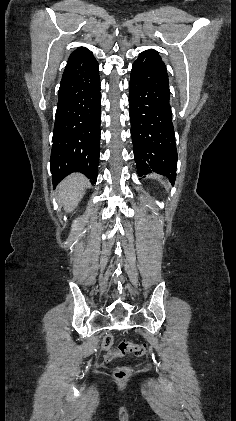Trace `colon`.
I'll return each instance as SVG.
<instances>
[{
	"mask_svg": "<svg viewBox=\"0 0 236 421\" xmlns=\"http://www.w3.org/2000/svg\"><path fill=\"white\" fill-rule=\"evenodd\" d=\"M103 350L104 358L107 361L114 359L115 357L125 356V355H134L137 357L143 356L146 354L147 346L144 343H133L124 341L121 342L117 348H113V337L111 334H107L103 339ZM131 373V370L127 366H118L115 368L114 376L115 378L122 380L127 378Z\"/></svg>",
	"mask_w": 236,
	"mask_h": 421,
	"instance_id": "5ec220e1",
	"label": "colon"
}]
</instances>
